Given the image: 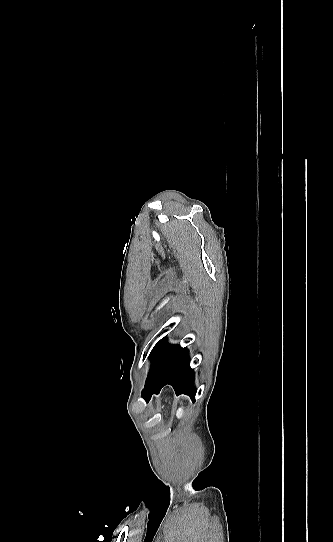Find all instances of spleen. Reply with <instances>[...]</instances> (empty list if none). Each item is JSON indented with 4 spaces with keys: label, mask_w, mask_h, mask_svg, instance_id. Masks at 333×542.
Returning <instances> with one entry per match:
<instances>
[{
    "label": "spleen",
    "mask_w": 333,
    "mask_h": 542,
    "mask_svg": "<svg viewBox=\"0 0 333 542\" xmlns=\"http://www.w3.org/2000/svg\"><path fill=\"white\" fill-rule=\"evenodd\" d=\"M185 412H184V408H178L177 412H176V418H178V420H181V418H183Z\"/></svg>",
    "instance_id": "3e777b00"
}]
</instances>
